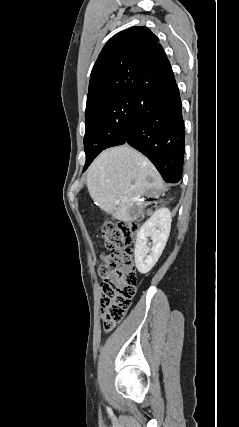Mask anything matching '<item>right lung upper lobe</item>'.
Listing matches in <instances>:
<instances>
[{
  "label": "right lung upper lobe",
  "mask_w": 239,
  "mask_h": 427,
  "mask_svg": "<svg viewBox=\"0 0 239 427\" xmlns=\"http://www.w3.org/2000/svg\"><path fill=\"white\" fill-rule=\"evenodd\" d=\"M173 81L159 39L146 27H131L113 36L99 54L90 75L87 106L126 95L142 96Z\"/></svg>",
  "instance_id": "right-lung-upper-lobe-1"
}]
</instances>
